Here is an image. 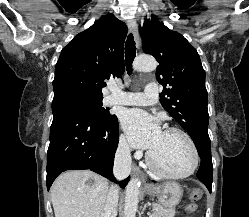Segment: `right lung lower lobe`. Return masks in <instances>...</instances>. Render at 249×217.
Returning <instances> with one entry per match:
<instances>
[{
  "label": "right lung lower lobe",
  "mask_w": 249,
  "mask_h": 217,
  "mask_svg": "<svg viewBox=\"0 0 249 217\" xmlns=\"http://www.w3.org/2000/svg\"><path fill=\"white\" fill-rule=\"evenodd\" d=\"M53 122L47 152V189L66 170H92L111 181L114 155L119 141L118 120L100 123L80 107L52 102ZM129 178L119 182L124 188Z\"/></svg>",
  "instance_id": "1"
}]
</instances>
